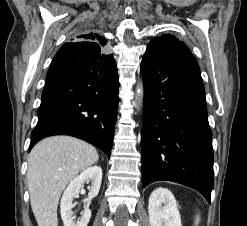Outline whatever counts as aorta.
I'll return each mask as SVG.
<instances>
[{
    "label": "aorta",
    "instance_id": "762f6f07",
    "mask_svg": "<svg viewBox=\"0 0 247 226\" xmlns=\"http://www.w3.org/2000/svg\"><path fill=\"white\" fill-rule=\"evenodd\" d=\"M137 96L140 97V99L143 97V85H140L138 88H137Z\"/></svg>",
    "mask_w": 247,
    "mask_h": 226
}]
</instances>
